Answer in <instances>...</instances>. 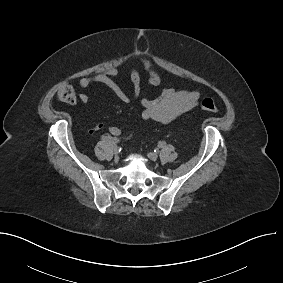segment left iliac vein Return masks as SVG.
I'll return each mask as SVG.
<instances>
[{
    "label": "left iliac vein",
    "instance_id": "1",
    "mask_svg": "<svg viewBox=\"0 0 283 283\" xmlns=\"http://www.w3.org/2000/svg\"><path fill=\"white\" fill-rule=\"evenodd\" d=\"M147 156H148V158H149L150 160H152V161H156V160L158 159V155H157L156 153H154V152H149V153L147 154Z\"/></svg>",
    "mask_w": 283,
    "mask_h": 283
}]
</instances>
